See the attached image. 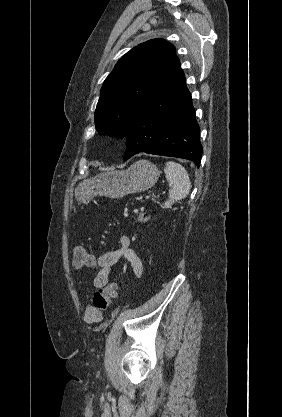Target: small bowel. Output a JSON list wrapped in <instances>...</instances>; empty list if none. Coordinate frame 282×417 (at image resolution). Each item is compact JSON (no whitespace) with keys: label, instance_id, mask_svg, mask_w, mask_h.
<instances>
[{"label":"small bowel","instance_id":"obj_1","mask_svg":"<svg viewBox=\"0 0 282 417\" xmlns=\"http://www.w3.org/2000/svg\"><path fill=\"white\" fill-rule=\"evenodd\" d=\"M121 258H124L130 264L136 279L142 277L144 272L142 260L130 247L129 237L125 234H121L119 236V245L115 249L102 254L94 260V264L99 268L93 281V285L96 289L102 288L107 284L112 268ZM102 317V311L96 310L91 305L86 308L83 316L84 321L87 324L99 323L102 320Z\"/></svg>","mask_w":282,"mask_h":417}]
</instances>
